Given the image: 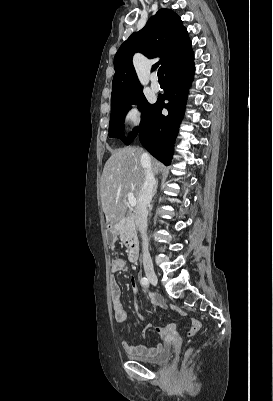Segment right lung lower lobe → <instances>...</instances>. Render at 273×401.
Instances as JSON below:
<instances>
[{
  "label": "right lung lower lobe",
  "instance_id": "obj_1",
  "mask_svg": "<svg viewBox=\"0 0 273 401\" xmlns=\"http://www.w3.org/2000/svg\"><path fill=\"white\" fill-rule=\"evenodd\" d=\"M193 58L172 68L166 74L164 97L158 99L151 111L149 123L139 131L142 145L165 165L171 163L173 144L183 118L187 91L194 75ZM164 100L169 103L165 104ZM168 115L162 114V109Z\"/></svg>",
  "mask_w": 273,
  "mask_h": 401
}]
</instances>
